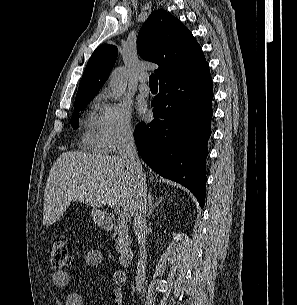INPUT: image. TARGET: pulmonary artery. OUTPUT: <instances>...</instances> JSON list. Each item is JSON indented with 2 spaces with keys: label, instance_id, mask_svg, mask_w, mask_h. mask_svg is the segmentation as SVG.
Returning <instances> with one entry per match:
<instances>
[{
  "label": "pulmonary artery",
  "instance_id": "1",
  "mask_svg": "<svg viewBox=\"0 0 297 305\" xmlns=\"http://www.w3.org/2000/svg\"><path fill=\"white\" fill-rule=\"evenodd\" d=\"M148 80V74L147 73H142L139 77V87H138V90H139V93L143 96H148L151 94V90H150V87L146 84Z\"/></svg>",
  "mask_w": 297,
  "mask_h": 305
}]
</instances>
